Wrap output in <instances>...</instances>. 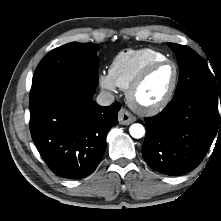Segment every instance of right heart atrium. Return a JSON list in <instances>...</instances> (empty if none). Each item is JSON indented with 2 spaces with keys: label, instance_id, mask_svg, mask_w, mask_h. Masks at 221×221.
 I'll use <instances>...</instances> for the list:
<instances>
[{
  "label": "right heart atrium",
  "instance_id": "d8ad5b80",
  "mask_svg": "<svg viewBox=\"0 0 221 221\" xmlns=\"http://www.w3.org/2000/svg\"><path fill=\"white\" fill-rule=\"evenodd\" d=\"M98 82L102 89L109 92H115L117 85L109 73L101 72L98 76Z\"/></svg>",
  "mask_w": 221,
  "mask_h": 221
}]
</instances>
